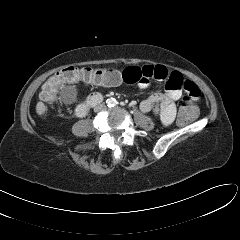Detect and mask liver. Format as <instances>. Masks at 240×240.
Masks as SVG:
<instances>
[{
	"instance_id": "obj_1",
	"label": "liver",
	"mask_w": 240,
	"mask_h": 240,
	"mask_svg": "<svg viewBox=\"0 0 240 240\" xmlns=\"http://www.w3.org/2000/svg\"><path fill=\"white\" fill-rule=\"evenodd\" d=\"M47 111V106L43 102H38L36 105V113L38 115H43Z\"/></svg>"
}]
</instances>
